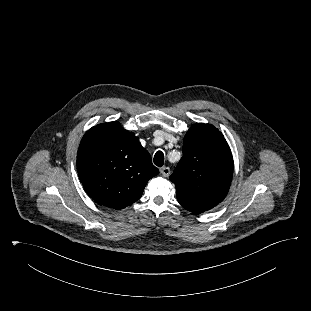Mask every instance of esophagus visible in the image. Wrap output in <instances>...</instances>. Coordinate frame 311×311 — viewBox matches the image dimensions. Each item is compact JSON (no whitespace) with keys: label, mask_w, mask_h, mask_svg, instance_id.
<instances>
[{"label":"esophagus","mask_w":311,"mask_h":311,"mask_svg":"<svg viewBox=\"0 0 311 311\" xmlns=\"http://www.w3.org/2000/svg\"><path fill=\"white\" fill-rule=\"evenodd\" d=\"M160 173L165 176V177H168L170 175V168L169 167H162L160 169Z\"/></svg>","instance_id":"1"}]
</instances>
